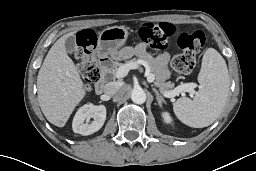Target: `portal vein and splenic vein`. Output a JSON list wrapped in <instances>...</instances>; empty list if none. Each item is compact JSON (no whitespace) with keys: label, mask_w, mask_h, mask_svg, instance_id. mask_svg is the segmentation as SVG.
<instances>
[{"label":"portal vein and splenic vein","mask_w":256,"mask_h":171,"mask_svg":"<svg viewBox=\"0 0 256 171\" xmlns=\"http://www.w3.org/2000/svg\"><path fill=\"white\" fill-rule=\"evenodd\" d=\"M139 64H142L147 67L146 62L142 61V60L138 61V62L124 64L118 68L115 77L116 78H124L128 74L129 70L136 69ZM146 76H147L148 82H154L155 76L153 74H150L148 67L146 70ZM194 88H195L194 83H186V84H183V85L175 88L172 91L164 92V96L167 98H172V97H175L176 95H179L180 93H183V92H188V93H190V95H194V93H195Z\"/></svg>","instance_id":"18ae733b"}]
</instances>
